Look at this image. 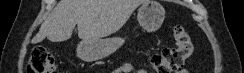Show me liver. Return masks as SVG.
<instances>
[{
	"mask_svg": "<svg viewBox=\"0 0 244 73\" xmlns=\"http://www.w3.org/2000/svg\"><path fill=\"white\" fill-rule=\"evenodd\" d=\"M146 0H60L32 39L62 42L72 36L77 25L83 41L99 40L117 32L134 10Z\"/></svg>",
	"mask_w": 244,
	"mask_h": 73,
	"instance_id": "6515ba94",
	"label": "liver"
}]
</instances>
